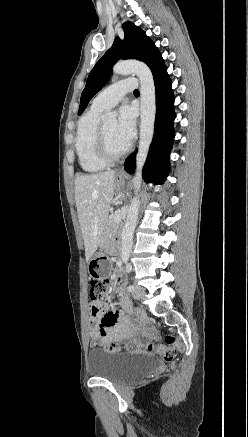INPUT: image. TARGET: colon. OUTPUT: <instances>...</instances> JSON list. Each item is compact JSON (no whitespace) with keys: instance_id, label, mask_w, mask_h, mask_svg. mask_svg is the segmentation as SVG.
<instances>
[{"instance_id":"obj_1","label":"colon","mask_w":248,"mask_h":437,"mask_svg":"<svg viewBox=\"0 0 248 437\" xmlns=\"http://www.w3.org/2000/svg\"><path fill=\"white\" fill-rule=\"evenodd\" d=\"M111 288V282L108 279H92L90 285V297L93 301H99L105 297ZM107 351L115 352L119 350L116 344H109L103 347ZM181 349L176 338L173 335L165 337V344L150 343L148 350L155 352L165 362L173 363L177 351Z\"/></svg>"}]
</instances>
